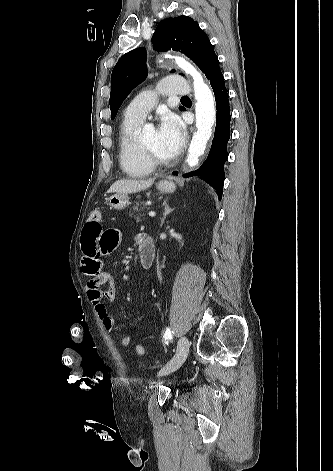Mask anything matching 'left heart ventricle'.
Wrapping results in <instances>:
<instances>
[{"label":"left heart ventricle","mask_w":333,"mask_h":471,"mask_svg":"<svg viewBox=\"0 0 333 471\" xmlns=\"http://www.w3.org/2000/svg\"><path fill=\"white\" fill-rule=\"evenodd\" d=\"M142 142L146 145L148 149H150L154 154L162 159H170L171 157L162 149L158 131L152 130L149 132Z\"/></svg>","instance_id":"obj_1"}]
</instances>
